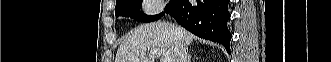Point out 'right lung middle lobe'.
<instances>
[{
    "instance_id": "obj_1",
    "label": "right lung middle lobe",
    "mask_w": 331,
    "mask_h": 62,
    "mask_svg": "<svg viewBox=\"0 0 331 62\" xmlns=\"http://www.w3.org/2000/svg\"><path fill=\"white\" fill-rule=\"evenodd\" d=\"M177 2L178 0H170L169 4H167L166 8L164 9V12L168 13ZM141 4L142 1L140 0H119L116 2L115 15L116 17H130L136 21L143 23L155 21L164 15V12H162L158 15L148 16L140 12Z\"/></svg>"
}]
</instances>
